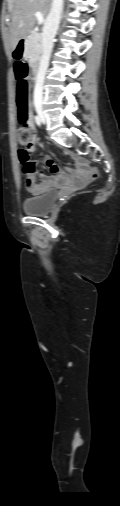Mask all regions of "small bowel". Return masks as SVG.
Here are the masks:
<instances>
[{
    "instance_id": "c3829d8e",
    "label": "small bowel",
    "mask_w": 120,
    "mask_h": 506,
    "mask_svg": "<svg viewBox=\"0 0 120 506\" xmlns=\"http://www.w3.org/2000/svg\"><path fill=\"white\" fill-rule=\"evenodd\" d=\"M30 126H33V121H30ZM20 161L23 166V173L26 177V186L29 193L33 195H38L47 190L50 186L55 184H64V185H72V186H81L83 184L89 183L91 181V174L88 170H85L81 167V163L84 162L82 159L78 158L76 155L71 154L72 159L75 161V164L79 167L77 170L67 169L70 172L71 177H69L68 173L61 170L59 166H57L54 161L48 157L35 162L30 158H23L21 153L19 154ZM46 164L52 171L57 172L56 176H47L42 174L41 179L42 182L40 184L36 183V171L37 167L42 164Z\"/></svg>"
}]
</instances>
